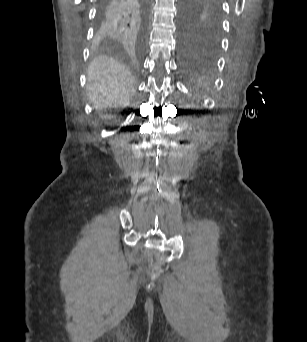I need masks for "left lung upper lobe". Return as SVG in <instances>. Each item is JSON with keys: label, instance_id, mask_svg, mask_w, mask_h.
<instances>
[{"label": "left lung upper lobe", "instance_id": "5c2ea615", "mask_svg": "<svg viewBox=\"0 0 307 342\" xmlns=\"http://www.w3.org/2000/svg\"><path fill=\"white\" fill-rule=\"evenodd\" d=\"M220 0H182L181 48L187 55L215 53L221 38Z\"/></svg>", "mask_w": 307, "mask_h": 342}]
</instances>
